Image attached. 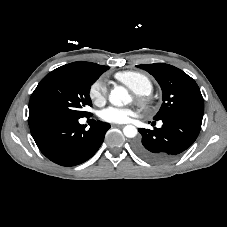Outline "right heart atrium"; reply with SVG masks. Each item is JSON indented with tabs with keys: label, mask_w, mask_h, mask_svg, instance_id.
Returning <instances> with one entry per match:
<instances>
[{
	"label": "right heart atrium",
	"mask_w": 227,
	"mask_h": 227,
	"mask_svg": "<svg viewBox=\"0 0 227 227\" xmlns=\"http://www.w3.org/2000/svg\"><path fill=\"white\" fill-rule=\"evenodd\" d=\"M89 97L96 105H102L107 97V84L103 78L95 80L89 88Z\"/></svg>",
	"instance_id": "right-heart-atrium-1"
}]
</instances>
